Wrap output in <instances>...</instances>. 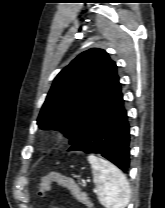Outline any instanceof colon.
<instances>
[{
  "label": "colon",
  "mask_w": 165,
  "mask_h": 208,
  "mask_svg": "<svg viewBox=\"0 0 165 208\" xmlns=\"http://www.w3.org/2000/svg\"><path fill=\"white\" fill-rule=\"evenodd\" d=\"M54 182L68 189L79 202L91 206L87 194L72 179L59 173H50L44 176L39 185V193L44 194L49 191L51 184Z\"/></svg>",
  "instance_id": "5ec220e1"
}]
</instances>
